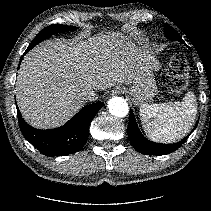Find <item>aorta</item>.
Wrapping results in <instances>:
<instances>
[{"mask_svg":"<svg viewBox=\"0 0 211 211\" xmlns=\"http://www.w3.org/2000/svg\"><path fill=\"white\" fill-rule=\"evenodd\" d=\"M109 112L117 117H125L128 114L129 107L122 97H112L108 101Z\"/></svg>","mask_w":211,"mask_h":211,"instance_id":"1","label":"aorta"}]
</instances>
